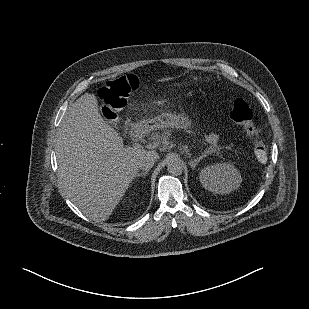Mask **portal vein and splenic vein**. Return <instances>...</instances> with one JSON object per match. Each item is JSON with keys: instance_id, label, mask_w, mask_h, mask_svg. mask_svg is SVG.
Listing matches in <instances>:
<instances>
[{"instance_id": "portal-vein-and-splenic-vein-1", "label": "portal vein and splenic vein", "mask_w": 309, "mask_h": 309, "mask_svg": "<svg viewBox=\"0 0 309 309\" xmlns=\"http://www.w3.org/2000/svg\"><path fill=\"white\" fill-rule=\"evenodd\" d=\"M159 144H160L159 141H152V142H149V143L146 145V148H147V149H154V148L158 147Z\"/></svg>"}]
</instances>
